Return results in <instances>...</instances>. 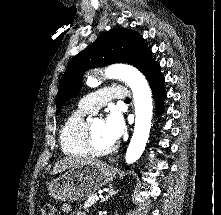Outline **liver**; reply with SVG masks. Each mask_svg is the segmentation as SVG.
I'll use <instances>...</instances> for the list:
<instances>
[{
	"mask_svg": "<svg viewBox=\"0 0 221 215\" xmlns=\"http://www.w3.org/2000/svg\"><path fill=\"white\" fill-rule=\"evenodd\" d=\"M94 159L91 158H76V157H66L61 159L54 165L53 171L51 172L52 175L65 171L67 169L81 167L88 162H91Z\"/></svg>",
	"mask_w": 221,
	"mask_h": 215,
	"instance_id": "1",
	"label": "liver"
}]
</instances>
